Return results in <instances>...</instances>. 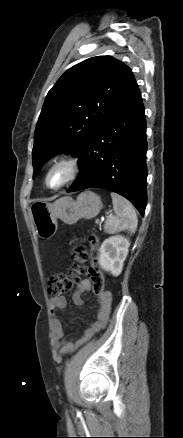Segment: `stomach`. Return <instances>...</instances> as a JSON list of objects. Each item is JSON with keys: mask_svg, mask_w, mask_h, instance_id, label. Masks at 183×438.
I'll return each mask as SVG.
<instances>
[{"mask_svg": "<svg viewBox=\"0 0 183 438\" xmlns=\"http://www.w3.org/2000/svg\"><path fill=\"white\" fill-rule=\"evenodd\" d=\"M102 209L100 196L91 191L81 193L76 200L65 196L54 203L34 202L30 208V216L35 232L41 239H50L57 232V219L65 224H75L79 219H92Z\"/></svg>", "mask_w": 183, "mask_h": 438, "instance_id": "1", "label": "stomach"}]
</instances>
